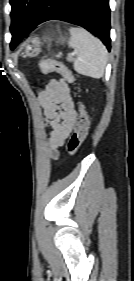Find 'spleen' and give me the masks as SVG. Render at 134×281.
I'll return each instance as SVG.
<instances>
[{
  "instance_id": "spleen-1",
  "label": "spleen",
  "mask_w": 134,
  "mask_h": 281,
  "mask_svg": "<svg viewBox=\"0 0 134 281\" xmlns=\"http://www.w3.org/2000/svg\"><path fill=\"white\" fill-rule=\"evenodd\" d=\"M69 47L74 49V70L79 74L101 78L107 63V50L103 43L82 28H70Z\"/></svg>"
}]
</instances>
